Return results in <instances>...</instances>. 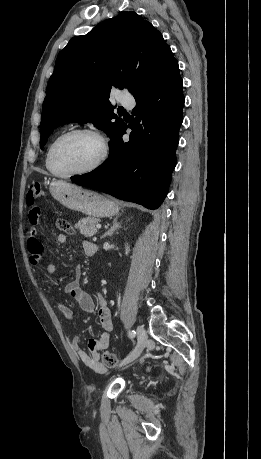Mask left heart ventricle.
<instances>
[{"label":"left heart ventricle","instance_id":"obj_1","mask_svg":"<svg viewBox=\"0 0 261 459\" xmlns=\"http://www.w3.org/2000/svg\"><path fill=\"white\" fill-rule=\"evenodd\" d=\"M100 146L88 135H71L60 140L55 146L51 167L58 173H70L92 164L98 157Z\"/></svg>","mask_w":261,"mask_h":459}]
</instances>
